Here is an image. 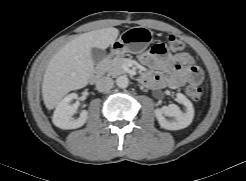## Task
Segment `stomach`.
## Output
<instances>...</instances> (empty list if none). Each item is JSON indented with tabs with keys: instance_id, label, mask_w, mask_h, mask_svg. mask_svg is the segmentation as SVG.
I'll list each match as a JSON object with an SVG mask.
<instances>
[{
	"instance_id": "obj_1",
	"label": "stomach",
	"mask_w": 246,
	"mask_h": 181,
	"mask_svg": "<svg viewBox=\"0 0 246 181\" xmlns=\"http://www.w3.org/2000/svg\"><path fill=\"white\" fill-rule=\"evenodd\" d=\"M152 32L145 27H132L124 31L119 39L111 44V55L125 53L138 54L147 49L152 42Z\"/></svg>"
}]
</instances>
